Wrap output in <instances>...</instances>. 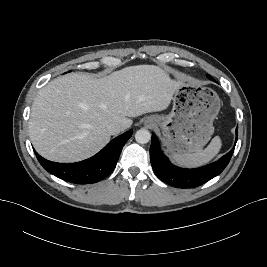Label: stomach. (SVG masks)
Instances as JSON below:
<instances>
[{"label": "stomach", "instance_id": "0dacf381", "mask_svg": "<svg viewBox=\"0 0 267 267\" xmlns=\"http://www.w3.org/2000/svg\"><path fill=\"white\" fill-rule=\"evenodd\" d=\"M172 101V111L168 115H153L148 120H155L161 127L170 153L201 150L213 134V121L221 107L218 94L209 87L182 82Z\"/></svg>", "mask_w": 267, "mask_h": 267}]
</instances>
